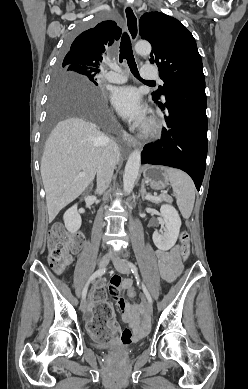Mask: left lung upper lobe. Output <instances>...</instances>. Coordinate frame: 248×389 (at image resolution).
Segmentation results:
<instances>
[{
  "mask_svg": "<svg viewBox=\"0 0 248 389\" xmlns=\"http://www.w3.org/2000/svg\"><path fill=\"white\" fill-rule=\"evenodd\" d=\"M139 33L151 43L150 61L157 64L164 81L153 94L155 101L182 82L204 79L195 39L177 19L160 12L145 13L140 18Z\"/></svg>",
  "mask_w": 248,
  "mask_h": 389,
  "instance_id": "1",
  "label": "left lung upper lobe"
}]
</instances>
